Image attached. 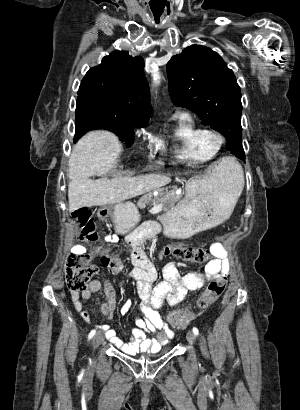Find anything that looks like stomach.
<instances>
[{
    "instance_id": "0dacf381",
    "label": "stomach",
    "mask_w": 300,
    "mask_h": 410,
    "mask_svg": "<svg viewBox=\"0 0 300 410\" xmlns=\"http://www.w3.org/2000/svg\"><path fill=\"white\" fill-rule=\"evenodd\" d=\"M233 179L232 170L221 171L219 166L208 177L191 178L181 203L160 218L164 234L172 238H189L227 220L237 202ZM99 215L110 216L118 234L129 232L140 219L131 202L103 208Z\"/></svg>"
}]
</instances>
